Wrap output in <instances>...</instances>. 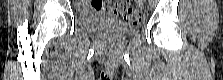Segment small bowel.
Wrapping results in <instances>:
<instances>
[{
  "label": "small bowel",
  "instance_id": "1",
  "mask_svg": "<svg viewBox=\"0 0 223 80\" xmlns=\"http://www.w3.org/2000/svg\"><path fill=\"white\" fill-rule=\"evenodd\" d=\"M118 2H93L92 4H82L81 11L87 15H108L116 16L120 12Z\"/></svg>",
  "mask_w": 223,
  "mask_h": 80
}]
</instances>
